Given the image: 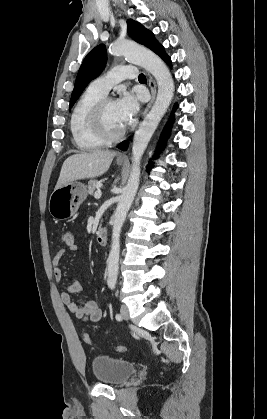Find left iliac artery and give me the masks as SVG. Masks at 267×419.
<instances>
[{"label":"left iliac artery","instance_id":"obj_1","mask_svg":"<svg viewBox=\"0 0 267 419\" xmlns=\"http://www.w3.org/2000/svg\"><path fill=\"white\" fill-rule=\"evenodd\" d=\"M116 320L121 321L122 320V316L121 314H116L115 316Z\"/></svg>","mask_w":267,"mask_h":419}]
</instances>
